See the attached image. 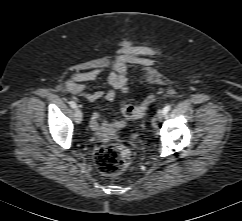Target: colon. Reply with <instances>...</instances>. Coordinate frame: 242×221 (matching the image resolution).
I'll use <instances>...</instances> for the list:
<instances>
[{
	"label": "colon",
	"mask_w": 242,
	"mask_h": 221,
	"mask_svg": "<svg viewBox=\"0 0 242 221\" xmlns=\"http://www.w3.org/2000/svg\"><path fill=\"white\" fill-rule=\"evenodd\" d=\"M153 101L154 95H150L138 106L123 105L122 114L128 119L141 117L147 112ZM95 162L98 170L103 175L116 177L128 170L132 162V154L124 145L116 143L104 144L97 148Z\"/></svg>",
	"instance_id": "colon-1"
}]
</instances>
